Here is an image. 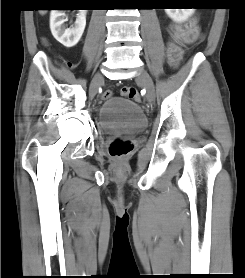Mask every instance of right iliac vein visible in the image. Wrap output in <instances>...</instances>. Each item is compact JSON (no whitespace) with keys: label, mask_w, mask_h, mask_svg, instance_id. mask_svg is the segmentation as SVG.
I'll list each match as a JSON object with an SVG mask.
<instances>
[{"label":"right iliac vein","mask_w":245,"mask_h":278,"mask_svg":"<svg viewBox=\"0 0 245 278\" xmlns=\"http://www.w3.org/2000/svg\"><path fill=\"white\" fill-rule=\"evenodd\" d=\"M103 79H104V77H103V75H102L101 73H97V74L94 76V78H93V80H92V82H91V85H90V90H89V93H90V97H91V98H93V97L96 95L99 86H100V85L102 84V82H103Z\"/></svg>","instance_id":"right-iliac-vein-1"}]
</instances>
